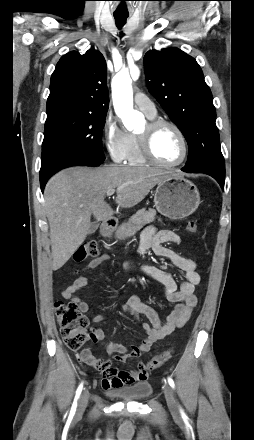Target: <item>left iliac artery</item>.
Listing matches in <instances>:
<instances>
[{
  "label": "left iliac artery",
  "instance_id": "1",
  "mask_svg": "<svg viewBox=\"0 0 254 440\" xmlns=\"http://www.w3.org/2000/svg\"><path fill=\"white\" fill-rule=\"evenodd\" d=\"M168 383H169V385H170L173 389L175 388L174 381H173V379H172L171 377H168Z\"/></svg>",
  "mask_w": 254,
  "mask_h": 440
}]
</instances>
